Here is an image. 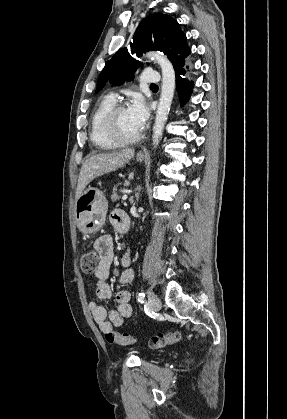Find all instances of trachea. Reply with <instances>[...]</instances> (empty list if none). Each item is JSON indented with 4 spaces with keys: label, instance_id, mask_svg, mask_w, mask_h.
Segmentation results:
<instances>
[{
    "label": "trachea",
    "instance_id": "1",
    "mask_svg": "<svg viewBox=\"0 0 287 419\" xmlns=\"http://www.w3.org/2000/svg\"><path fill=\"white\" fill-rule=\"evenodd\" d=\"M150 86H155L156 87L157 85L156 84H151Z\"/></svg>",
    "mask_w": 287,
    "mask_h": 419
}]
</instances>
